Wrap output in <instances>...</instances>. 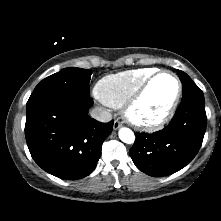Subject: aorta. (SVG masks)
Listing matches in <instances>:
<instances>
[{"instance_id": "762f6f07", "label": "aorta", "mask_w": 221, "mask_h": 221, "mask_svg": "<svg viewBox=\"0 0 221 221\" xmlns=\"http://www.w3.org/2000/svg\"><path fill=\"white\" fill-rule=\"evenodd\" d=\"M119 138L122 142L132 144L135 141V135L129 128H121L119 130Z\"/></svg>"}]
</instances>
